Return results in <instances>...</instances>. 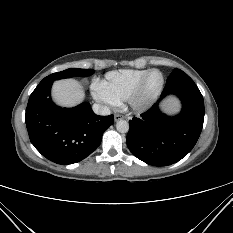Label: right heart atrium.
Segmentation results:
<instances>
[{
  "instance_id": "d8ad5b80",
  "label": "right heart atrium",
  "mask_w": 233,
  "mask_h": 233,
  "mask_svg": "<svg viewBox=\"0 0 233 233\" xmlns=\"http://www.w3.org/2000/svg\"><path fill=\"white\" fill-rule=\"evenodd\" d=\"M93 96L97 101L104 105H117L115 99L106 91L100 82L94 84Z\"/></svg>"
}]
</instances>
